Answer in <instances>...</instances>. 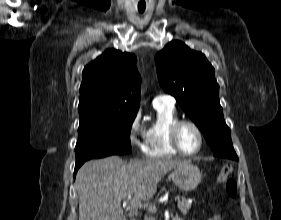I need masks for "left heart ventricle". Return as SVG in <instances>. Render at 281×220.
Masks as SVG:
<instances>
[{
  "label": "left heart ventricle",
  "mask_w": 281,
  "mask_h": 220,
  "mask_svg": "<svg viewBox=\"0 0 281 220\" xmlns=\"http://www.w3.org/2000/svg\"><path fill=\"white\" fill-rule=\"evenodd\" d=\"M179 142L186 152H193L199 146V137L196 130L189 126H183L179 131Z\"/></svg>",
  "instance_id": "left-heart-ventricle-1"
}]
</instances>
